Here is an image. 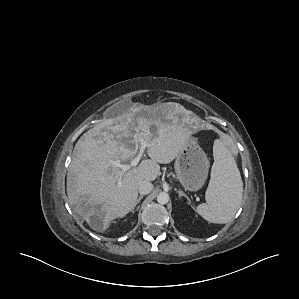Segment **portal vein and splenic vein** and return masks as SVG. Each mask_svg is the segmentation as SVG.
I'll list each match as a JSON object with an SVG mask.
<instances>
[{"label":"portal vein and splenic vein","mask_w":299,"mask_h":299,"mask_svg":"<svg viewBox=\"0 0 299 299\" xmlns=\"http://www.w3.org/2000/svg\"><path fill=\"white\" fill-rule=\"evenodd\" d=\"M149 147V144L144 140V139H140V150L139 153L136 157H134L130 164H122L120 163L119 160H115V161H111V164L115 167L120 168V172H119V176L117 177V183L118 185H121V177L122 174L125 173L126 171H128L131 168H134L135 166H137V164L139 163V161L141 160L145 149Z\"/></svg>","instance_id":"1"}]
</instances>
